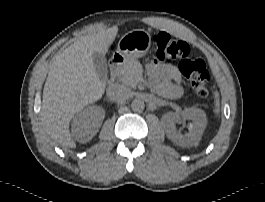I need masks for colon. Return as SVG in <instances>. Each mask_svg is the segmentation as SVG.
<instances>
[{"mask_svg": "<svg viewBox=\"0 0 265 202\" xmlns=\"http://www.w3.org/2000/svg\"><path fill=\"white\" fill-rule=\"evenodd\" d=\"M154 52L159 62L180 60L179 71L200 97L209 94V73L203 60L190 58L187 42L162 31L154 36Z\"/></svg>", "mask_w": 265, "mask_h": 202, "instance_id": "5ec220e1", "label": "colon"}]
</instances>
